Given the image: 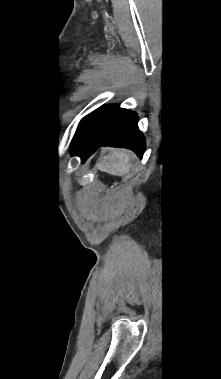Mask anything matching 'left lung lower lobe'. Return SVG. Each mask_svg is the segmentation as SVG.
I'll use <instances>...</instances> for the list:
<instances>
[{
    "mask_svg": "<svg viewBox=\"0 0 221 379\" xmlns=\"http://www.w3.org/2000/svg\"><path fill=\"white\" fill-rule=\"evenodd\" d=\"M137 116L118 105L96 109L79 124L71 143V155L82 163L100 146L126 147L142 157L145 140L137 127Z\"/></svg>",
    "mask_w": 221,
    "mask_h": 379,
    "instance_id": "left-lung-lower-lobe-1",
    "label": "left lung lower lobe"
}]
</instances>
